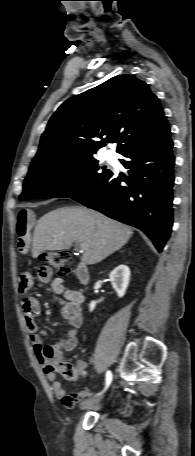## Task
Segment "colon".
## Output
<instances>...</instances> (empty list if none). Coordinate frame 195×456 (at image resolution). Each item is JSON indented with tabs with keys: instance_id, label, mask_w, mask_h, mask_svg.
<instances>
[{
	"instance_id": "colon-1",
	"label": "colon",
	"mask_w": 195,
	"mask_h": 456,
	"mask_svg": "<svg viewBox=\"0 0 195 456\" xmlns=\"http://www.w3.org/2000/svg\"><path fill=\"white\" fill-rule=\"evenodd\" d=\"M41 260L53 267L60 275H64L69 271L71 255L65 250L50 251L44 253ZM47 370L58 372L68 380H74L81 374V370L68 361H58L49 365Z\"/></svg>"
}]
</instances>
